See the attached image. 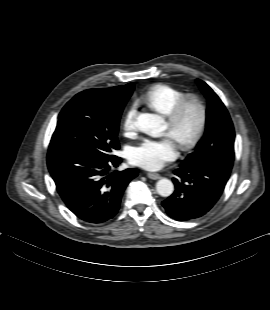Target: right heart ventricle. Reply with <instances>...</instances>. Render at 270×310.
Returning <instances> with one entry per match:
<instances>
[{"label":"right heart ventricle","mask_w":270,"mask_h":310,"mask_svg":"<svg viewBox=\"0 0 270 310\" xmlns=\"http://www.w3.org/2000/svg\"><path fill=\"white\" fill-rule=\"evenodd\" d=\"M184 94L169 84H157L149 89L143 99L160 113L168 115Z\"/></svg>","instance_id":"e07e8e85"}]
</instances>
